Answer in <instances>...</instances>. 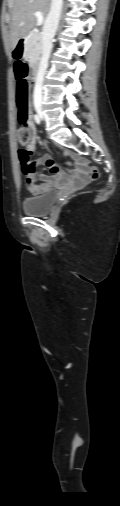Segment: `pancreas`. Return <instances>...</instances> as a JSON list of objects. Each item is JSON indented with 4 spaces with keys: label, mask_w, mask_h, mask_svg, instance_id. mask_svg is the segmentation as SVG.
Listing matches in <instances>:
<instances>
[{
    "label": "pancreas",
    "mask_w": 120,
    "mask_h": 506,
    "mask_svg": "<svg viewBox=\"0 0 120 506\" xmlns=\"http://www.w3.org/2000/svg\"><path fill=\"white\" fill-rule=\"evenodd\" d=\"M41 54H42L41 35L36 32H31L25 44L24 58L27 59L29 62L34 63L40 59Z\"/></svg>",
    "instance_id": "pancreas-1"
}]
</instances>
